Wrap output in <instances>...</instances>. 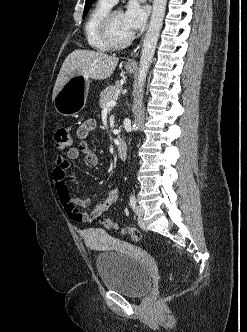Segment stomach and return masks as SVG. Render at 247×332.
Masks as SVG:
<instances>
[{
  "label": "stomach",
  "instance_id": "obj_1",
  "mask_svg": "<svg viewBox=\"0 0 247 332\" xmlns=\"http://www.w3.org/2000/svg\"><path fill=\"white\" fill-rule=\"evenodd\" d=\"M128 73L134 71L133 68H126ZM90 80L84 75L72 76L58 91L54 99L55 110L63 116H75L85 106Z\"/></svg>",
  "mask_w": 247,
  "mask_h": 332
}]
</instances>
